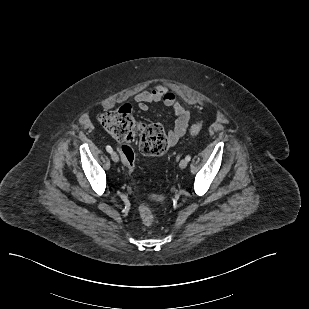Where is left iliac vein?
<instances>
[{"label": "left iliac vein", "instance_id": "4c4485c4", "mask_svg": "<svg viewBox=\"0 0 309 309\" xmlns=\"http://www.w3.org/2000/svg\"><path fill=\"white\" fill-rule=\"evenodd\" d=\"M187 165H188V161H187L186 159H182V160L180 161V163H179V167H180L181 169L186 168Z\"/></svg>", "mask_w": 309, "mask_h": 309}]
</instances>
